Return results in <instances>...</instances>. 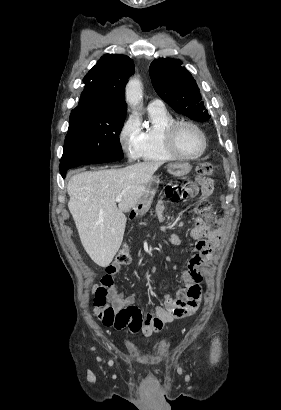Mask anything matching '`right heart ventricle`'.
<instances>
[{
    "mask_svg": "<svg viewBox=\"0 0 281 410\" xmlns=\"http://www.w3.org/2000/svg\"><path fill=\"white\" fill-rule=\"evenodd\" d=\"M148 121L142 128V136L138 149V158L151 162L176 160L164 141V130L175 119L163 108L148 109Z\"/></svg>",
    "mask_w": 281,
    "mask_h": 410,
    "instance_id": "e07e8e85",
    "label": "right heart ventricle"
}]
</instances>
